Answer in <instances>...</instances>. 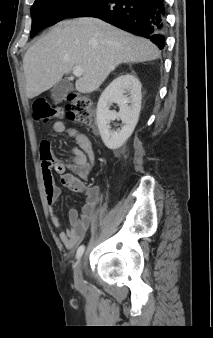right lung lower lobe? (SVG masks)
Segmentation results:
<instances>
[{"label": "right lung lower lobe", "instance_id": "98d812e1", "mask_svg": "<svg viewBox=\"0 0 213 338\" xmlns=\"http://www.w3.org/2000/svg\"><path fill=\"white\" fill-rule=\"evenodd\" d=\"M92 16L133 34L150 39L164 48V0H95L71 17Z\"/></svg>", "mask_w": 213, "mask_h": 338}]
</instances>
